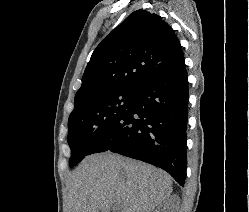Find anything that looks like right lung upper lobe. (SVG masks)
<instances>
[{"label": "right lung upper lobe", "mask_w": 249, "mask_h": 212, "mask_svg": "<svg viewBox=\"0 0 249 212\" xmlns=\"http://www.w3.org/2000/svg\"><path fill=\"white\" fill-rule=\"evenodd\" d=\"M183 59L173 29L157 14L137 10L93 52L75 95V107L107 93L136 92Z\"/></svg>", "instance_id": "right-lung-upper-lobe-1"}]
</instances>
